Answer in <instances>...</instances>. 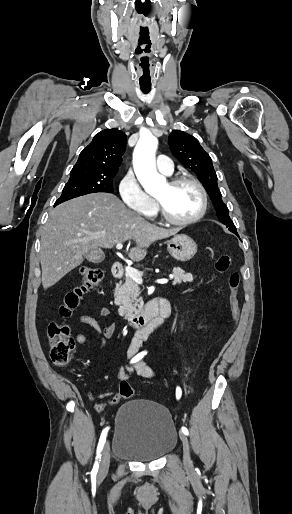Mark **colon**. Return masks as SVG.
<instances>
[{
	"mask_svg": "<svg viewBox=\"0 0 292 514\" xmlns=\"http://www.w3.org/2000/svg\"><path fill=\"white\" fill-rule=\"evenodd\" d=\"M216 269L227 275L228 287L230 291V323L233 325L239 317V287L240 275L231 267V258L228 254H220L216 260ZM83 283L80 287H75L67 291L64 295L63 302L60 305V313L63 316H70L77 307L80 300L88 289L99 287L104 278V272L100 269L85 267L82 269ZM48 339L50 343V359L56 366H62L71 359L74 339L69 332L67 325L62 322H53L49 324L47 329ZM119 393L123 399H128L134 394L133 384H120ZM101 406L96 408L100 412Z\"/></svg>",
	"mask_w": 292,
	"mask_h": 514,
	"instance_id": "1",
	"label": "colon"
}]
</instances>
